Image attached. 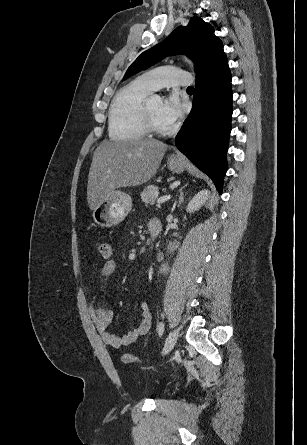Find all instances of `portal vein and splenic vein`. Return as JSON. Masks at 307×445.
<instances>
[{"instance_id":"obj_1","label":"portal vein and splenic vein","mask_w":307,"mask_h":445,"mask_svg":"<svg viewBox=\"0 0 307 445\" xmlns=\"http://www.w3.org/2000/svg\"><path fill=\"white\" fill-rule=\"evenodd\" d=\"M171 198L170 194H167V196H161V198H157V206L161 204V202H166V200H169Z\"/></svg>"}]
</instances>
